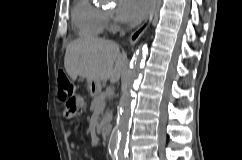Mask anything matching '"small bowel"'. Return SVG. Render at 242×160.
<instances>
[{
	"label": "small bowel",
	"instance_id": "small-bowel-1",
	"mask_svg": "<svg viewBox=\"0 0 242 160\" xmlns=\"http://www.w3.org/2000/svg\"><path fill=\"white\" fill-rule=\"evenodd\" d=\"M76 100H77V102L79 103V107H78V111H77V113H78V112L81 111V107H82V99H81V98H76ZM65 114L68 116V113H67L66 110H65Z\"/></svg>",
	"mask_w": 242,
	"mask_h": 160
}]
</instances>
